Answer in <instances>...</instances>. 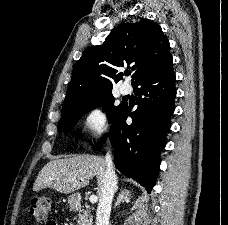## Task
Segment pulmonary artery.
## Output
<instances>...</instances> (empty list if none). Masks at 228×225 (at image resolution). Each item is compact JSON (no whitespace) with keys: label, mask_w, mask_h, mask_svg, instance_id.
<instances>
[{"label":"pulmonary artery","mask_w":228,"mask_h":225,"mask_svg":"<svg viewBox=\"0 0 228 225\" xmlns=\"http://www.w3.org/2000/svg\"><path fill=\"white\" fill-rule=\"evenodd\" d=\"M131 92V86L127 82H124L120 87V93L122 95H127Z\"/></svg>","instance_id":"obj_1"}]
</instances>
